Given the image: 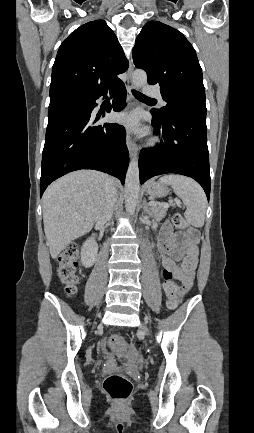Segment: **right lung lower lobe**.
Masks as SVG:
<instances>
[{"label":"right lung lower lobe","instance_id":"98d812e1","mask_svg":"<svg viewBox=\"0 0 254 433\" xmlns=\"http://www.w3.org/2000/svg\"><path fill=\"white\" fill-rule=\"evenodd\" d=\"M112 105L106 111L125 106L123 83L110 89ZM62 94L50 98L48 125L42 154L40 197L57 178L79 169H95L119 178L124 184L129 163L126 133L115 123L98 125L105 115L92 114L101 95Z\"/></svg>","mask_w":254,"mask_h":433}]
</instances>
